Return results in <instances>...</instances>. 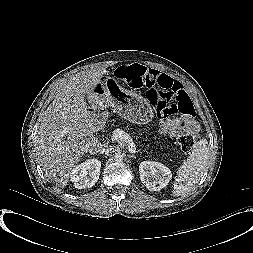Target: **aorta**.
Returning <instances> with one entry per match:
<instances>
[{
	"label": "aorta",
	"instance_id": "aorta-1",
	"mask_svg": "<svg viewBox=\"0 0 253 253\" xmlns=\"http://www.w3.org/2000/svg\"><path fill=\"white\" fill-rule=\"evenodd\" d=\"M114 160H115L116 162H121V161L123 160V155H122V154H116V155L114 156Z\"/></svg>",
	"mask_w": 253,
	"mask_h": 253
}]
</instances>
